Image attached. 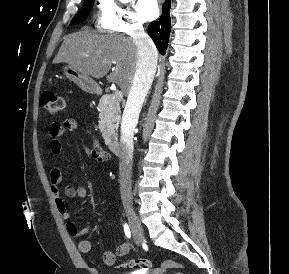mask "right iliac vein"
Segmentation results:
<instances>
[{
  "label": "right iliac vein",
  "instance_id": "obj_1",
  "mask_svg": "<svg viewBox=\"0 0 289 274\" xmlns=\"http://www.w3.org/2000/svg\"><path fill=\"white\" fill-rule=\"evenodd\" d=\"M124 205L134 240L137 245H140L145 241L143 228L128 200H124Z\"/></svg>",
  "mask_w": 289,
  "mask_h": 274
}]
</instances>
